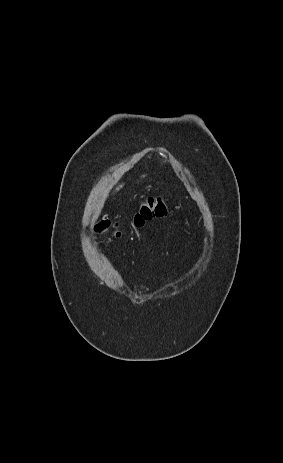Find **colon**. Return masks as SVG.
I'll return each instance as SVG.
<instances>
[{
	"instance_id": "colon-1",
	"label": "colon",
	"mask_w": 283,
	"mask_h": 463,
	"mask_svg": "<svg viewBox=\"0 0 283 463\" xmlns=\"http://www.w3.org/2000/svg\"><path fill=\"white\" fill-rule=\"evenodd\" d=\"M168 210L159 198L146 199L136 211L133 222L136 227H141L145 222L167 216ZM96 229L100 232H111L112 235L119 237L122 232L117 223H111L108 219H102L97 224Z\"/></svg>"
}]
</instances>
